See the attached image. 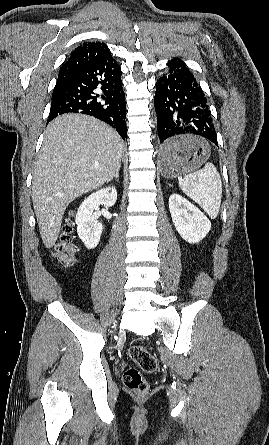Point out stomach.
<instances>
[{"mask_svg":"<svg viewBox=\"0 0 269 445\" xmlns=\"http://www.w3.org/2000/svg\"><path fill=\"white\" fill-rule=\"evenodd\" d=\"M175 141L182 146L178 153L166 156L162 150L160 152L161 173L168 179L198 169L210 153L208 144L198 137L184 136Z\"/></svg>","mask_w":269,"mask_h":445,"instance_id":"stomach-1","label":"stomach"}]
</instances>
